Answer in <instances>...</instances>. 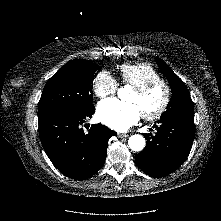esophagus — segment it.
I'll return each mask as SVG.
<instances>
[{
  "label": "esophagus",
  "mask_w": 221,
  "mask_h": 221,
  "mask_svg": "<svg viewBox=\"0 0 221 221\" xmlns=\"http://www.w3.org/2000/svg\"><path fill=\"white\" fill-rule=\"evenodd\" d=\"M128 136H129V134H126V133H118L119 138H126Z\"/></svg>",
  "instance_id": "34e87169"
}]
</instances>
